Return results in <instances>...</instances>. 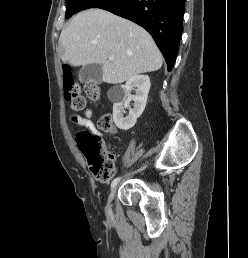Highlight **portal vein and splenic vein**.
<instances>
[{
    "mask_svg": "<svg viewBox=\"0 0 248 258\" xmlns=\"http://www.w3.org/2000/svg\"><path fill=\"white\" fill-rule=\"evenodd\" d=\"M108 59H109L110 61H113V60H114V56H109Z\"/></svg>",
    "mask_w": 248,
    "mask_h": 258,
    "instance_id": "1",
    "label": "portal vein and splenic vein"
}]
</instances>
